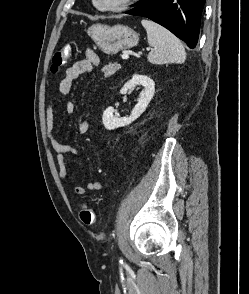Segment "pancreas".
Segmentation results:
<instances>
[{"label":"pancreas","mask_w":249,"mask_h":294,"mask_svg":"<svg viewBox=\"0 0 249 294\" xmlns=\"http://www.w3.org/2000/svg\"><path fill=\"white\" fill-rule=\"evenodd\" d=\"M120 69V65L118 63H109L105 65L102 69L105 77H110L115 74Z\"/></svg>","instance_id":"obj_1"}]
</instances>
